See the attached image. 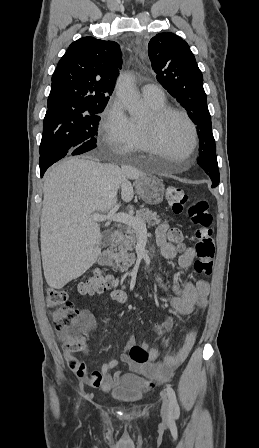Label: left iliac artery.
Listing matches in <instances>:
<instances>
[{"label":"left iliac artery","instance_id":"44dca946","mask_svg":"<svg viewBox=\"0 0 259 448\" xmlns=\"http://www.w3.org/2000/svg\"><path fill=\"white\" fill-rule=\"evenodd\" d=\"M166 391H167V395H168V398H169L170 408L174 409L175 417L178 418L179 414H180V410H179V405H178V402H177V399H176L175 391L171 388L170 385H167Z\"/></svg>","mask_w":259,"mask_h":448}]
</instances>
